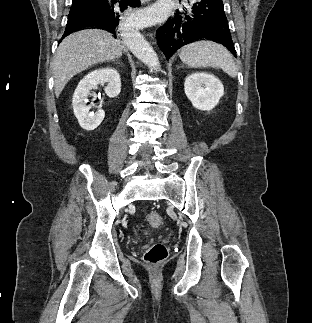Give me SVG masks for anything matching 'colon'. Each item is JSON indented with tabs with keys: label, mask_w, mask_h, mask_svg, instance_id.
<instances>
[{
	"label": "colon",
	"mask_w": 312,
	"mask_h": 323,
	"mask_svg": "<svg viewBox=\"0 0 312 323\" xmlns=\"http://www.w3.org/2000/svg\"><path fill=\"white\" fill-rule=\"evenodd\" d=\"M146 217L151 226L160 227L162 225V216L157 211L148 212ZM143 258L146 263L156 267L167 258V248L163 244H154L146 250Z\"/></svg>",
	"instance_id": "1"
}]
</instances>
